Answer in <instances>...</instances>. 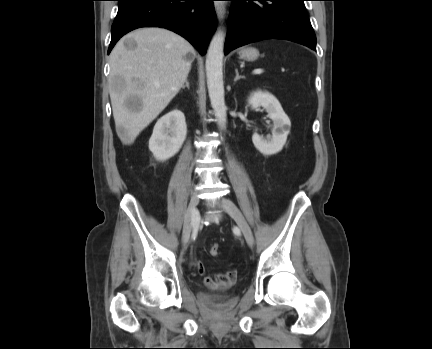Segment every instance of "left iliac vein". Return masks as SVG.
Listing matches in <instances>:
<instances>
[{
  "label": "left iliac vein",
  "mask_w": 432,
  "mask_h": 349,
  "mask_svg": "<svg viewBox=\"0 0 432 349\" xmlns=\"http://www.w3.org/2000/svg\"><path fill=\"white\" fill-rule=\"evenodd\" d=\"M219 206L236 221L249 246H253L254 237L252 230L238 207L227 198H221L219 200Z\"/></svg>",
  "instance_id": "1"
}]
</instances>
